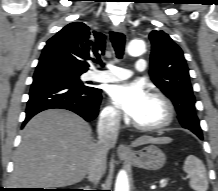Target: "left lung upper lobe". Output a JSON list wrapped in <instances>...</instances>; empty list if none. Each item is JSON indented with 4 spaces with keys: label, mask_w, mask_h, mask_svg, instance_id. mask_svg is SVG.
Here are the masks:
<instances>
[{
    "label": "left lung upper lobe",
    "mask_w": 218,
    "mask_h": 191,
    "mask_svg": "<svg viewBox=\"0 0 218 191\" xmlns=\"http://www.w3.org/2000/svg\"><path fill=\"white\" fill-rule=\"evenodd\" d=\"M149 39L152 44L150 76L153 83L172 100L182 126L202 135L195 114L189 69L181 48L161 30L151 31Z\"/></svg>",
    "instance_id": "obj_1"
}]
</instances>
